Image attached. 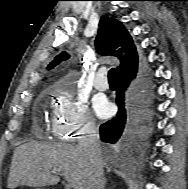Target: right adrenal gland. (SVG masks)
<instances>
[{
    "mask_svg": "<svg viewBox=\"0 0 188 189\" xmlns=\"http://www.w3.org/2000/svg\"><path fill=\"white\" fill-rule=\"evenodd\" d=\"M105 184H106V180H103V185H102V189H105Z\"/></svg>",
    "mask_w": 188,
    "mask_h": 189,
    "instance_id": "right-adrenal-gland-1",
    "label": "right adrenal gland"
}]
</instances>
